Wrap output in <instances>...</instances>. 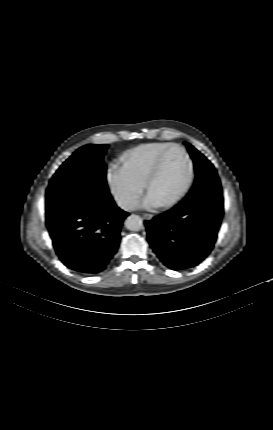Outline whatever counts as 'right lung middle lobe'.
<instances>
[{
    "instance_id": "obj_1",
    "label": "right lung middle lobe",
    "mask_w": 273,
    "mask_h": 430,
    "mask_svg": "<svg viewBox=\"0 0 273 430\" xmlns=\"http://www.w3.org/2000/svg\"><path fill=\"white\" fill-rule=\"evenodd\" d=\"M107 147L85 145L62 164L47 189L46 212L86 197H110L103 162Z\"/></svg>"
}]
</instances>
